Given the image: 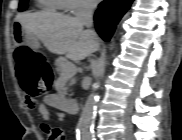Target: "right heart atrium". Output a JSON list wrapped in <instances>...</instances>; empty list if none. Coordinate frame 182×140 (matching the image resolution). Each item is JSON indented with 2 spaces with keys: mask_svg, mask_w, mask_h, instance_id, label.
Here are the masks:
<instances>
[{
  "mask_svg": "<svg viewBox=\"0 0 182 140\" xmlns=\"http://www.w3.org/2000/svg\"><path fill=\"white\" fill-rule=\"evenodd\" d=\"M94 7L91 0H64L62 9L71 14H83L89 12Z\"/></svg>",
  "mask_w": 182,
  "mask_h": 140,
  "instance_id": "obj_1",
  "label": "right heart atrium"
}]
</instances>
